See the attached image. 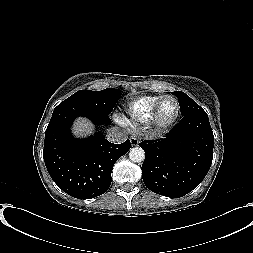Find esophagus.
Listing matches in <instances>:
<instances>
[{"mask_svg":"<svg viewBox=\"0 0 253 253\" xmlns=\"http://www.w3.org/2000/svg\"><path fill=\"white\" fill-rule=\"evenodd\" d=\"M130 142H131V146L134 147V146H138L139 144V140L137 137L135 136H131L130 137Z\"/></svg>","mask_w":253,"mask_h":253,"instance_id":"34e87169","label":"esophagus"}]
</instances>
